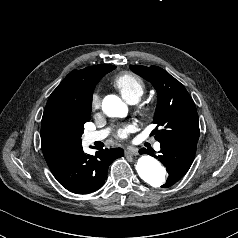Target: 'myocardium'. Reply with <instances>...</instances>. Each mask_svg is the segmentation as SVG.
Here are the masks:
<instances>
[{
    "label": "myocardium",
    "mask_w": 238,
    "mask_h": 238,
    "mask_svg": "<svg viewBox=\"0 0 238 238\" xmlns=\"http://www.w3.org/2000/svg\"><path fill=\"white\" fill-rule=\"evenodd\" d=\"M153 113L154 106L151 103L142 104L137 108V115L143 120L151 118Z\"/></svg>",
    "instance_id": "obj_1"
}]
</instances>
